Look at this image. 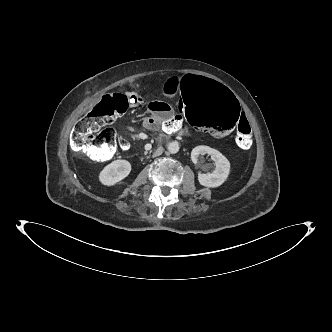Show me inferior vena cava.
Here are the masks:
<instances>
[{
	"label": "inferior vena cava",
	"mask_w": 332,
	"mask_h": 332,
	"mask_svg": "<svg viewBox=\"0 0 332 332\" xmlns=\"http://www.w3.org/2000/svg\"><path fill=\"white\" fill-rule=\"evenodd\" d=\"M163 153V148H158L156 151H155V153H154V156H159V155H161Z\"/></svg>",
	"instance_id": "1"
}]
</instances>
